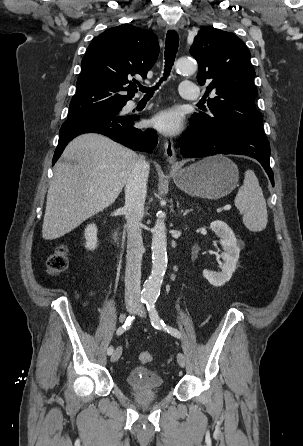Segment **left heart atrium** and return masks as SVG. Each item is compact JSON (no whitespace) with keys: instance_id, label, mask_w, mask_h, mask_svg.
Here are the masks:
<instances>
[{"instance_id":"left-heart-atrium-1","label":"left heart atrium","mask_w":303,"mask_h":446,"mask_svg":"<svg viewBox=\"0 0 303 446\" xmlns=\"http://www.w3.org/2000/svg\"><path fill=\"white\" fill-rule=\"evenodd\" d=\"M182 118L180 113L174 109L164 110L155 115L151 124L160 132L174 135L181 130Z\"/></svg>"}]
</instances>
